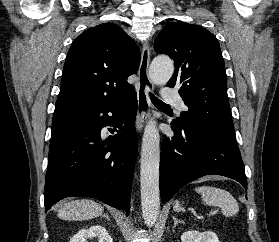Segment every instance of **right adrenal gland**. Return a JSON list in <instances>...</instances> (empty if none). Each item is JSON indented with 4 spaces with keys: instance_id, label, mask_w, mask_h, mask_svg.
Wrapping results in <instances>:
<instances>
[{
    "instance_id": "1",
    "label": "right adrenal gland",
    "mask_w": 279,
    "mask_h": 242,
    "mask_svg": "<svg viewBox=\"0 0 279 242\" xmlns=\"http://www.w3.org/2000/svg\"><path fill=\"white\" fill-rule=\"evenodd\" d=\"M103 217H105L108 221H110V218L107 214H104Z\"/></svg>"
}]
</instances>
